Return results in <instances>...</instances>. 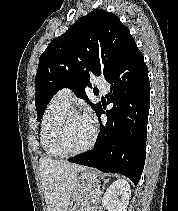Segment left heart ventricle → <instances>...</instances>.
I'll return each mask as SVG.
<instances>
[{"label":"left heart ventricle","mask_w":178,"mask_h":211,"mask_svg":"<svg viewBox=\"0 0 178 211\" xmlns=\"http://www.w3.org/2000/svg\"><path fill=\"white\" fill-rule=\"evenodd\" d=\"M92 136V124L84 116L75 115L70 118L63 144L68 151H77L88 144Z\"/></svg>","instance_id":"b2bd125f"}]
</instances>
